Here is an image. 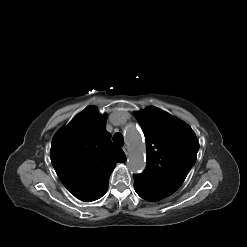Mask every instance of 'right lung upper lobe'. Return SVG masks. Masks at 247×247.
<instances>
[{
  "label": "right lung upper lobe",
  "mask_w": 247,
  "mask_h": 247,
  "mask_svg": "<svg viewBox=\"0 0 247 247\" xmlns=\"http://www.w3.org/2000/svg\"><path fill=\"white\" fill-rule=\"evenodd\" d=\"M106 117L88 107L52 140L51 161L63 185L78 199L103 196L115 164L125 162L123 150L111 142Z\"/></svg>",
  "instance_id": "cb5924a9"
}]
</instances>
